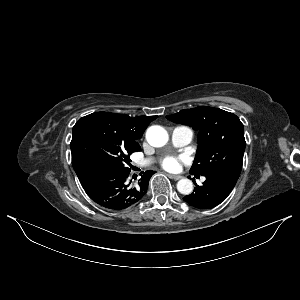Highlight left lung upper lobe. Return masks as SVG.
<instances>
[{
	"label": "left lung upper lobe",
	"mask_w": 300,
	"mask_h": 300,
	"mask_svg": "<svg viewBox=\"0 0 300 300\" xmlns=\"http://www.w3.org/2000/svg\"><path fill=\"white\" fill-rule=\"evenodd\" d=\"M166 118L198 130V149L190 173H222L238 179L245 150L244 127L233 113L199 106Z\"/></svg>",
	"instance_id": "5c2ea615"
}]
</instances>
